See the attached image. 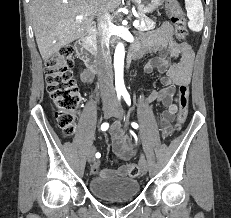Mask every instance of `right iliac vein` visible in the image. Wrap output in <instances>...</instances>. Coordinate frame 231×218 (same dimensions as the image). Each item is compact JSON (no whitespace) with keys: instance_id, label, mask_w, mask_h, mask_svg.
<instances>
[{"instance_id":"1","label":"right iliac vein","mask_w":231,"mask_h":218,"mask_svg":"<svg viewBox=\"0 0 231 218\" xmlns=\"http://www.w3.org/2000/svg\"><path fill=\"white\" fill-rule=\"evenodd\" d=\"M103 115H104V118H109L111 117V115L113 114L114 112V107L110 104H106L103 106ZM87 159H88V162L91 163L95 160V148L94 147H91L88 151V155H87Z\"/></svg>"}]
</instances>
